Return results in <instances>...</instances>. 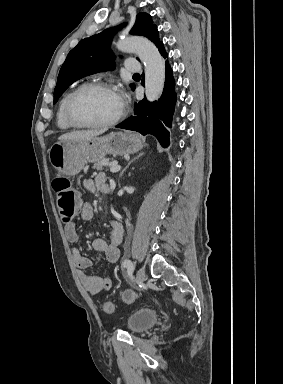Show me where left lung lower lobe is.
<instances>
[{
    "instance_id": "obj_1",
    "label": "left lung lower lobe",
    "mask_w": 283,
    "mask_h": 384,
    "mask_svg": "<svg viewBox=\"0 0 283 384\" xmlns=\"http://www.w3.org/2000/svg\"><path fill=\"white\" fill-rule=\"evenodd\" d=\"M160 54L167 58L163 43L158 46ZM175 80L172 69L165 62V86L161 98L156 102H148L146 98L135 105L134 116L116 125L117 128L133 130L142 135L152 134L164 147L169 145L172 116L177 100L174 91Z\"/></svg>"
}]
</instances>
